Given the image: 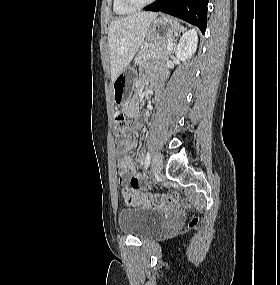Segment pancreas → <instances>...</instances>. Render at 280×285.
<instances>
[{"mask_svg": "<svg viewBox=\"0 0 280 285\" xmlns=\"http://www.w3.org/2000/svg\"><path fill=\"white\" fill-rule=\"evenodd\" d=\"M171 43V38L162 39L156 42L149 43L142 48L138 54L135 63L141 65L145 61L152 58L168 59L170 51L166 50L167 46Z\"/></svg>", "mask_w": 280, "mask_h": 285, "instance_id": "cf45deb5", "label": "pancreas"}]
</instances>
